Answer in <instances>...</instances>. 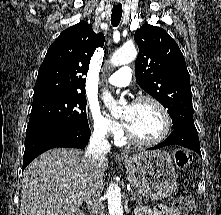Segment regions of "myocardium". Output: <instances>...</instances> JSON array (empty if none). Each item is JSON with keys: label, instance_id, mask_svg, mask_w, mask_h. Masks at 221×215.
<instances>
[{"label": "myocardium", "instance_id": "1", "mask_svg": "<svg viewBox=\"0 0 221 215\" xmlns=\"http://www.w3.org/2000/svg\"><path fill=\"white\" fill-rule=\"evenodd\" d=\"M144 101H149L151 103H153L160 111L162 118H163V129L162 132L160 133V135L154 139L151 140H146V139H142L139 138L137 136H135L125 125V123L123 124V133L125 138L137 145H141V146H154L157 145L161 142H163L167 136L170 133V129H171V117L169 114L168 109L165 107V105L158 100L157 98L151 96V95H141L139 97H137L134 101V103H140V102H144Z\"/></svg>", "mask_w": 221, "mask_h": 215}]
</instances>
